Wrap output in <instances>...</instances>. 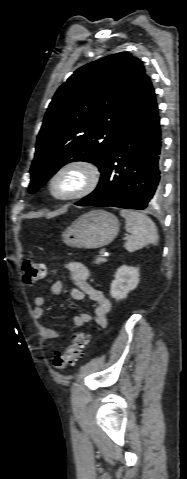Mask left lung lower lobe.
Segmentation results:
<instances>
[{
  "label": "left lung lower lobe",
  "mask_w": 187,
  "mask_h": 479,
  "mask_svg": "<svg viewBox=\"0 0 187 479\" xmlns=\"http://www.w3.org/2000/svg\"><path fill=\"white\" fill-rule=\"evenodd\" d=\"M156 96L146 75L100 182L78 206L143 210L161 194V128Z\"/></svg>",
  "instance_id": "obj_1"
}]
</instances>
